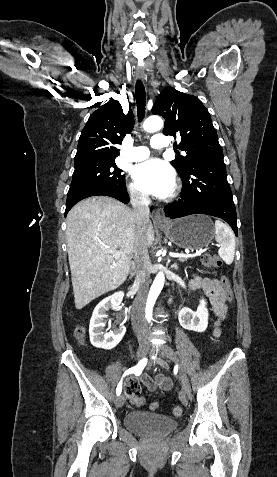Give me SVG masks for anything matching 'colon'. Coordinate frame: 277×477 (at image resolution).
<instances>
[{"mask_svg": "<svg viewBox=\"0 0 277 477\" xmlns=\"http://www.w3.org/2000/svg\"><path fill=\"white\" fill-rule=\"evenodd\" d=\"M201 264L203 268H219L222 266L223 263H222V260L216 255L204 254L201 257ZM220 282L223 286V291L225 292V296H226L225 302L227 304H233L235 302V293H234V289L229 284L228 278L225 276H222L220 278ZM74 335L79 341H82L84 338V328L78 325L74 330ZM126 390H127V394L129 396L130 402L133 405L138 406L144 402L143 399L139 396L140 391L136 383L128 382ZM158 408H159L158 402H152L150 404L151 410L154 411V410H157ZM182 412L183 410L180 406H177L173 409V413L176 416H180Z\"/></svg>", "mask_w": 277, "mask_h": 477, "instance_id": "colon-1", "label": "colon"}]
</instances>
